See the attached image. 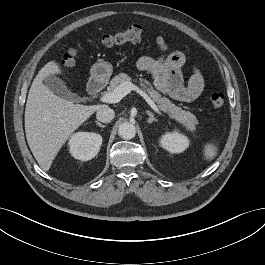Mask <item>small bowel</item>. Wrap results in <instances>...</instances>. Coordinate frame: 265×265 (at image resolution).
Segmentation results:
<instances>
[{
    "mask_svg": "<svg viewBox=\"0 0 265 265\" xmlns=\"http://www.w3.org/2000/svg\"><path fill=\"white\" fill-rule=\"evenodd\" d=\"M156 43L162 55L159 58L140 57L137 61L138 69L150 73L156 88L175 100L191 102L198 98L204 88V77L201 71L193 67L185 84L182 74V68L186 63L185 54L181 51H170L163 36H158Z\"/></svg>",
    "mask_w": 265,
    "mask_h": 265,
    "instance_id": "c3829d8e",
    "label": "small bowel"
}]
</instances>
